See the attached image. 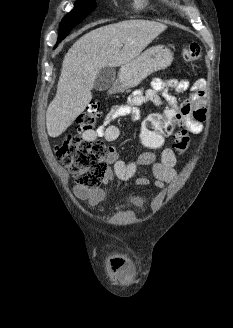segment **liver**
Listing matches in <instances>:
<instances>
[{
	"label": "liver",
	"instance_id": "obj_1",
	"mask_svg": "<svg viewBox=\"0 0 233 328\" xmlns=\"http://www.w3.org/2000/svg\"><path fill=\"white\" fill-rule=\"evenodd\" d=\"M166 28L162 23L128 20L97 28L78 39L64 57L57 92L46 111L48 135L60 136L86 109L102 68L135 59Z\"/></svg>",
	"mask_w": 233,
	"mask_h": 328
}]
</instances>
